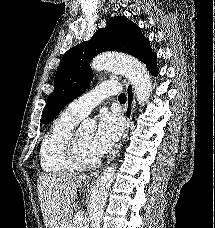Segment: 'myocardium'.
I'll list each match as a JSON object with an SVG mask.
<instances>
[{
	"mask_svg": "<svg viewBox=\"0 0 215 228\" xmlns=\"http://www.w3.org/2000/svg\"><path fill=\"white\" fill-rule=\"evenodd\" d=\"M63 153L73 167L81 169L95 168L100 164V157L95 160H84L78 147V130H73L64 140L62 145Z\"/></svg>",
	"mask_w": 215,
	"mask_h": 228,
	"instance_id": "f54148a6",
	"label": "myocardium"
}]
</instances>
